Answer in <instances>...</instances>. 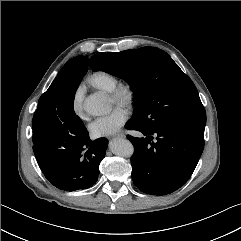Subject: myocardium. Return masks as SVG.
I'll return each mask as SVG.
<instances>
[{
  "instance_id": "obj_1",
  "label": "myocardium",
  "mask_w": 241,
  "mask_h": 241,
  "mask_svg": "<svg viewBox=\"0 0 241 241\" xmlns=\"http://www.w3.org/2000/svg\"><path fill=\"white\" fill-rule=\"evenodd\" d=\"M109 94L115 104L126 108H131L136 101V90L130 83H119Z\"/></svg>"
}]
</instances>
